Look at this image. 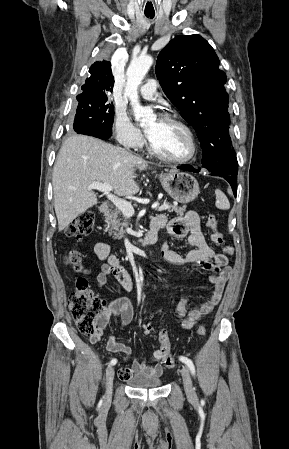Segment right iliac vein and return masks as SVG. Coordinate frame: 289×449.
<instances>
[{
    "mask_svg": "<svg viewBox=\"0 0 289 449\" xmlns=\"http://www.w3.org/2000/svg\"><path fill=\"white\" fill-rule=\"evenodd\" d=\"M114 368L112 366L106 369V393H105V401L108 402L112 396V388H113V379H114Z\"/></svg>",
    "mask_w": 289,
    "mask_h": 449,
    "instance_id": "right-iliac-vein-1",
    "label": "right iliac vein"
}]
</instances>
